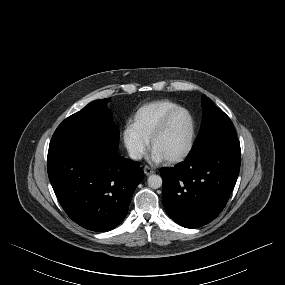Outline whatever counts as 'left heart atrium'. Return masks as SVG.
<instances>
[{"instance_id":"1","label":"left heart atrium","mask_w":285,"mask_h":285,"mask_svg":"<svg viewBox=\"0 0 285 285\" xmlns=\"http://www.w3.org/2000/svg\"><path fill=\"white\" fill-rule=\"evenodd\" d=\"M150 158L155 163H160L165 160L164 157L155 150L152 151Z\"/></svg>"}]
</instances>
